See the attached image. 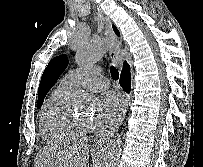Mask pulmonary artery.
Here are the masks:
<instances>
[{
    "label": "pulmonary artery",
    "instance_id": "e3ab8cb5",
    "mask_svg": "<svg viewBox=\"0 0 203 167\" xmlns=\"http://www.w3.org/2000/svg\"><path fill=\"white\" fill-rule=\"evenodd\" d=\"M61 83L71 88L84 87L89 90L103 89L108 86L107 79L102 75L98 67L71 70L64 75Z\"/></svg>",
    "mask_w": 203,
    "mask_h": 167
}]
</instances>
